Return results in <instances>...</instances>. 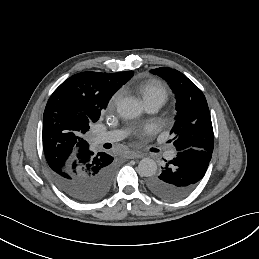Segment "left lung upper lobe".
I'll return each mask as SVG.
<instances>
[{
  "label": "left lung upper lobe",
  "mask_w": 259,
  "mask_h": 259,
  "mask_svg": "<svg viewBox=\"0 0 259 259\" xmlns=\"http://www.w3.org/2000/svg\"><path fill=\"white\" fill-rule=\"evenodd\" d=\"M151 73L165 79L176 96L175 123L170 131L176 150L213 152L214 134L207 101L201 90L181 72L161 67ZM171 142V140H170Z\"/></svg>",
  "instance_id": "left-lung-upper-lobe-1"
}]
</instances>
